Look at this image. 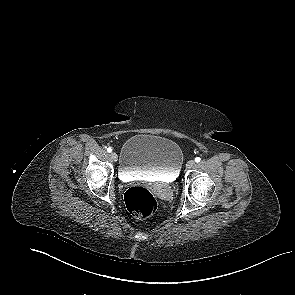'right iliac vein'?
Segmentation results:
<instances>
[{"mask_svg": "<svg viewBox=\"0 0 295 295\" xmlns=\"http://www.w3.org/2000/svg\"><path fill=\"white\" fill-rule=\"evenodd\" d=\"M110 156H111L113 161H117L118 155L115 152H112Z\"/></svg>", "mask_w": 295, "mask_h": 295, "instance_id": "right-iliac-vein-1", "label": "right iliac vein"}]
</instances>
